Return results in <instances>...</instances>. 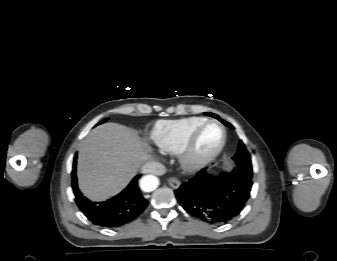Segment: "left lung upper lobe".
<instances>
[{
    "label": "left lung upper lobe",
    "instance_id": "obj_1",
    "mask_svg": "<svg viewBox=\"0 0 337 261\" xmlns=\"http://www.w3.org/2000/svg\"><path fill=\"white\" fill-rule=\"evenodd\" d=\"M217 119H219L221 122H223L224 124L230 126L229 124H227L225 121H223L222 119L216 117ZM231 127V126H230ZM234 160L237 163V168L241 169L243 172H245L246 174H249L252 176V164H251V157L248 153V151L246 150L244 144L242 142H240L239 147H238V152L236 153V155L234 156Z\"/></svg>",
    "mask_w": 337,
    "mask_h": 261
}]
</instances>
